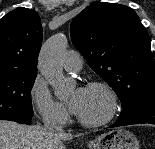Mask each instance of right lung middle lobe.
Returning <instances> with one entry per match:
<instances>
[{
	"mask_svg": "<svg viewBox=\"0 0 155 149\" xmlns=\"http://www.w3.org/2000/svg\"><path fill=\"white\" fill-rule=\"evenodd\" d=\"M36 76V71L0 72V120L30 123L33 115L30 91Z\"/></svg>",
	"mask_w": 155,
	"mask_h": 149,
	"instance_id": "dd1d6c3e",
	"label": "right lung middle lobe"
}]
</instances>
